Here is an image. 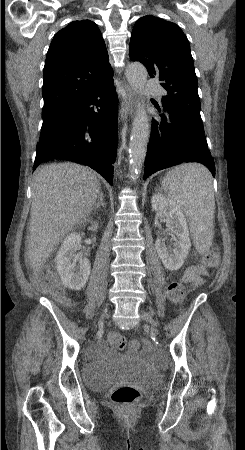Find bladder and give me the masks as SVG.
Instances as JSON below:
<instances>
[{"label": "bladder", "mask_w": 245, "mask_h": 450, "mask_svg": "<svg viewBox=\"0 0 245 450\" xmlns=\"http://www.w3.org/2000/svg\"><path fill=\"white\" fill-rule=\"evenodd\" d=\"M85 384L94 391L116 387L122 383L151 384L154 373L134 360L133 357H117L108 362L90 360L82 365Z\"/></svg>", "instance_id": "1"}]
</instances>
